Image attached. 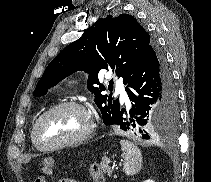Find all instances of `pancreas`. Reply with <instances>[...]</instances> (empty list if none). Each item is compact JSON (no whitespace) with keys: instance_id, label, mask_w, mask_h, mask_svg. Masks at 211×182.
Wrapping results in <instances>:
<instances>
[{"instance_id":"cf45deb5","label":"pancreas","mask_w":211,"mask_h":182,"mask_svg":"<svg viewBox=\"0 0 211 182\" xmlns=\"http://www.w3.org/2000/svg\"><path fill=\"white\" fill-rule=\"evenodd\" d=\"M101 169H102V171H103L104 173H107L109 176H110L111 173H112L111 168L109 167L108 163L105 162V161H103V162L101 163Z\"/></svg>"}]
</instances>
